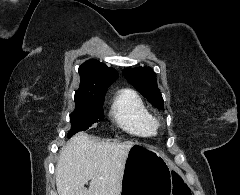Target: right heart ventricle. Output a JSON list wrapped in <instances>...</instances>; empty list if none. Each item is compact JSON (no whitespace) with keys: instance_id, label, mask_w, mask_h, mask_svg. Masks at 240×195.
Returning a JSON list of instances; mask_svg holds the SVG:
<instances>
[{"instance_id":"e07e8e85","label":"right heart ventricle","mask_w":240,"mask_h":195,"mask_svg":"<svg viewBox=\"0 0 240 195\" xmlns=\"http://www.w3.org/2000/svg\"><path fill=\"white\" fill-rule=\"evenodd\" d=\"M109 116L117 127L134 135L149 136L155 133L148 107L133 90H124L115 97Z\"/></svg>"}]
</instances>
